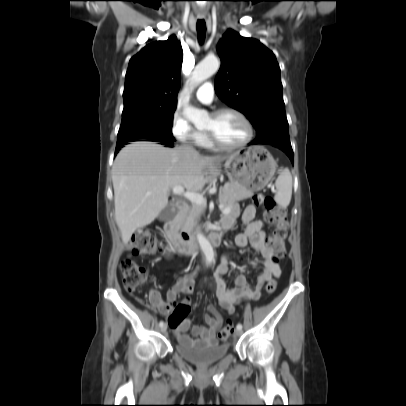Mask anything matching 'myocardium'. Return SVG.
<instances>
[{
  "instance_id": "myocardium-1",
  "label": "myocardium",
  "mask_w": 406,
  "mask_h": 406,
  "mask_svg": "<svg viewBox=\"0 0 406 406\" xmlns=\"http://www.w3.org/2000/svg\"><path fill=\"white\" fill-rule=\"evenodd\" d=\"M224 113H233V114L237 115L243 121V123L245 124L246 129H247L246 137L237 144H225L219 140V138L215 135V133H213L212 131H209V130H205L209 140L211 141V143L214 146H216L220 149H223V150H235V149H239V148L246 146L253 139V136H254V128H253L251 121L242 111H240L239 109L234 108V107L219 108L216 111H214L211 114V116L218 117Z\"/></svg>"
}]
</instances>
